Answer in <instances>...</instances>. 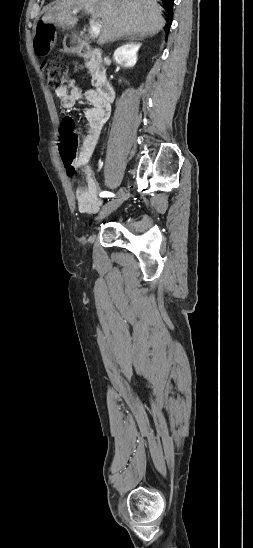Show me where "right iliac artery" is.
Returning a JSON list of instances; mask_svg holds the SVG:
<instances>
[{
	"instance_id": "1",
	"label": "right iliac artery",
	"mask_w": 253,
	"mask_h": 548,
	"mask_svg": "<svg viewBox=\"0 0 253 548\" xmlns=\"http://www.w3.org/2000/svg\"><path fill=\"white\" fill-rule=\"evenodd\" d=\"M115 195L111 192L103 191L100 193V197H114Z\"/></svg>"
}]
</instances>
